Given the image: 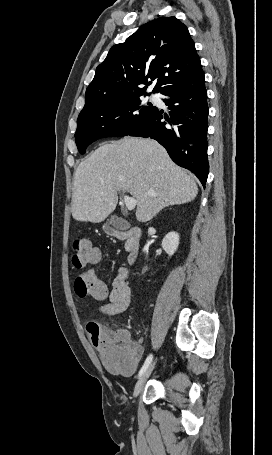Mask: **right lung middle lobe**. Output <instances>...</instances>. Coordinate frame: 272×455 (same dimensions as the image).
<instances>
[{
    "mask_svg": "<svg viewBox=\"0 0 272 455\" xmlns=\"http://www.w3.org/2000/svg\"><path fill=\"white\" fill-rule=\"evenodd\" d=\"M143 95L126 97L90 111L80 113L77 120L75 141L81 154L95 140L128 135L149 118L157 107L145 104Z\"/></svg>",
    "mask_w": 272,
    "mask_h": 455,
    "instance_id": "obj_1",
    "label": "right lung middle lobe"
}]
</instances>
